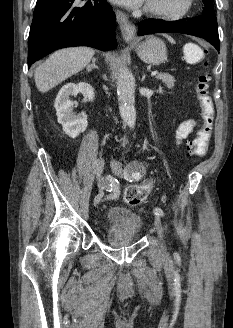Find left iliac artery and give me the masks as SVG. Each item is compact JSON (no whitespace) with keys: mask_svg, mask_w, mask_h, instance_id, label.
<instances>
[{"mask_svg":"<svg viewBox=\"0 0 233 328\" xmlns=\"http://www.w3.org/2000/svg\"><path fill=\"white\" fill-rule=\"evenodd\" d=\"M132 178L135 179V180H138V179L141 178V174L139 172H134V173H132ZM154 213L157 216H164L163 210L161 208H158V207H156L154 209Z\"/></svg>","mask_w":233,"mask_h":328,"instance_id":"obj_1","label":"left iliac artery"}]
</instances>
